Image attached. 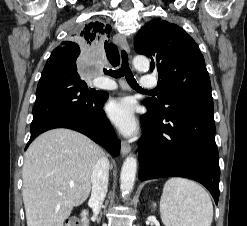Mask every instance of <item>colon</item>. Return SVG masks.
I'll return each instance as SVG.
<instances>
[{
	"mask_svg": "<svg viewBox=\"0 0 247 226\" xmlns=\"http://www.w3.org/2000/svg\"><path fill=\"white\" fill-rule=\"evenodd\" d=\"M65 226H82V223L77 217H70L66 220Z\"/></svg>",
	"mask_w": 247,
	"mask_h": 226,
	"instance_id": "colon-1",
	"label": "colon"
}]
</instances>
